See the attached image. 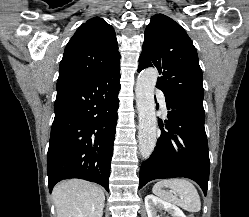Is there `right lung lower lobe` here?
<instances>
[{"label":"right lung lower lobe","mask_w":249,"mask_h":217,"mask_svg":"<svg viewBox=\"0 0 249 217\" xmlns=\"http://www.w3.org/2000/svg\"><path fill=\"white\" fill-rule=\"evenodd\" d=\"M120 67L99 77L57 81L47 154L50 192L62 179L81 178L109 192L117 124Z\"/></svg>","instance_id":"98d812e1"}]
</instances>
